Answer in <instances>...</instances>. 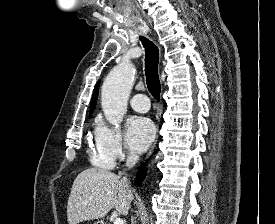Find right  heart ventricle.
Here are the masks:
<instances>
[{
    "label": "right heart ventricle",
    "mask_w": 275,
    "mask_h": 224,
    "mask_svg": "<svg viewBox=\"0 0 275 224\" xmlns=\"http://www.w3.org/2000/svg\"><path fill=\"white\" fill-rule=\"evenodd\" d=\"M88 154L91 163L99 168L110 169L114 165V159L103 148L99 141L98 127L94 130L89 139Z\"/></svg>",
    "instance_id": "obj_1"
}]
</instances>
